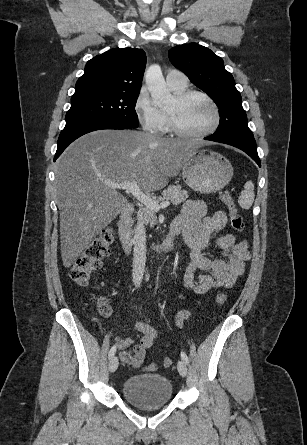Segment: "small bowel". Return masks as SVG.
Returning <instances> with one entry per match:
<instances>
[{"instance_id": "c3829d8e", "label": "small bowel", "mask_w": 307, "mask_h": 445, "mask_svg": "<svg viewBox=\"0 0 307 445\" xmlns=\"http://www.w3.org/2000/svg\"><path fill=\"white\" fill-rule=\"evenodd\" d=\"M226 224L227 214L224 210L209 214L206 204L198 200H187L171 224L178 234H182L184 243L191 250L183 283L187 290L197 295L231 287L244 273L245 264L250 259L246 240L239 241L232 233L218 234ZM208 253H214L216 257H209ZM188 316L187 310L178 311L175 315L176 325L181 326ZM136 328L141 337L138 341L133 338L120 340L119 357L124 364L140 368L157 332L143 321H138Z\"/></svg>"}]
</instances>
